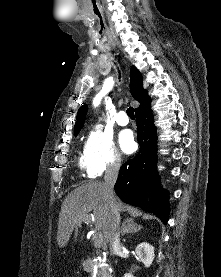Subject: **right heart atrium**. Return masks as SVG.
<instances>
[{"label": "right heart atrium", "mask_w": 221, "mask_h": 277, "mask_svg": "<svg viewBox=\"0 0 221 277\" xmlns=\"http://www.w3.org/2000/svg\"><path fill=\"white\" fill-rule=\"evenodd\" d=\"M84 165L89 177L116 171L121 166V157L112 135L99 125L94 126L88 134L84 146Z\"/></svg>", "instance_id": "right-heart-atrium-1"}]
</instances>
